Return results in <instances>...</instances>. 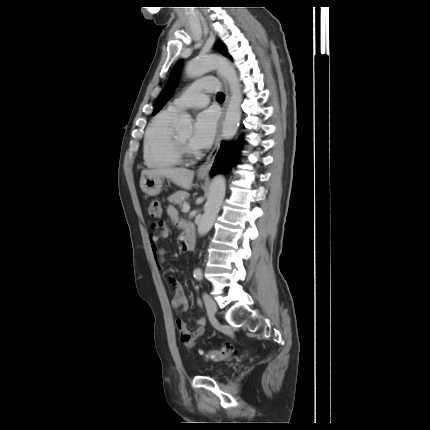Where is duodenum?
<instances>
[{
    "instance_id": "410a0bca",
    "label": "duodenum",
    "mask_w": 430,
    "mask_h": 430,
    "mask_svg": "<svg viewBox=\"0 0 430 430\" xmlns=\"http://www.w3.org/2000/svg\"><path fill=\"white\" fill-rule=\"evenodd\" d=\"M183 248L185 251H191L194 248V237L191 232H187L184 239Z\"/></svg>"
}]
</instances>
